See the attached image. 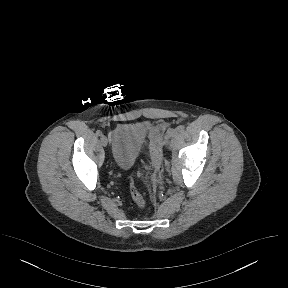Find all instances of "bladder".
Wrapping results in <instances>:
<instances>
[{"label":"bladder","mask_w":288,"mask_h":288,"mask_svg":"<svg viewBox=\"0 0 288 288\" xmlns=\"http://www.w3.org/2000/svg\"><path fill=\"white\" fill-rule=\"evenodd\" d=\"M146 128L138 124L118 126L110 134L111 155L120 169L133 166L146 138Z\"/></svg>","instance_id":"1"}]
</instances>
